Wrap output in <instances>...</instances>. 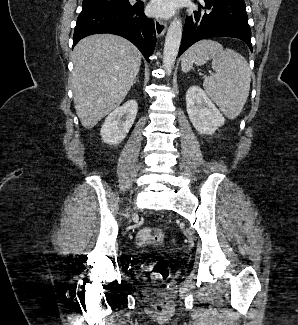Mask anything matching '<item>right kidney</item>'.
<instances>
[{"mask_svg": "<svg viewBox=\"0 0 298 325\" xmlns=\"http://www.w3.org/2000/svg\"><path fill=\"white\" fill-rule=\"evenodd\" d=\"M137 100H127L122 106H117L105 118L100 134L104 142L119 144L127 136L137 114Z\"/></svg>", "mask_w": 298, "mask_h": 325, "instance_id": "1", "label": "right kidney"}]
</instances>
